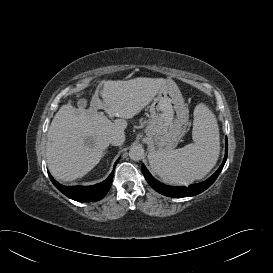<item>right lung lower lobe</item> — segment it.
I'll return each instance as SVG.
<instances>
[{
    "instance_id": "obj_1",
    "label": "right lung lower lobe",
    "mask_w": 273,
    "mask_h": 273,
    "mask_svg": "<svg viewBox=\"0 0 273 273\" xmlns=\"http://www.w3.org/2000/svg\"><path fill=\"white\" fill-rule=\"evenodd\" d=\"M118 161L119 159L115 162L114 169ZM113 172L105 181L92 186H63L55 181L49 172L48 174L54 186L67 197L78 202H95L102 199L109 191L113 180Z\"/></svg>"
}]
</instances>
